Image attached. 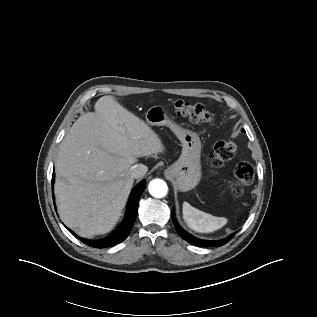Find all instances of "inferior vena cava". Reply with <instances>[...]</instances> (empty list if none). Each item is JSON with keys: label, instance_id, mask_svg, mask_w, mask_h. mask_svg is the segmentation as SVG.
Masks as SVG:
<instances>
[{"label": "inferior vena cava", "instance_id": "1", "mask_svg": "<svg viewBox=\"0 0 317 317\" xmlns=\"http://www.w3.org/2000/svg\"><path fill=\"white\" fill-rule=\"evenodd\" d=\"M147 170H148L147 166L143 164H136L130 168L129 174L132 178L137 179V178L143 177L146 174Z\"/></svg>", "mask_w": 317, "mask_h": 317}]
</instances>
